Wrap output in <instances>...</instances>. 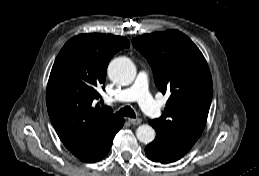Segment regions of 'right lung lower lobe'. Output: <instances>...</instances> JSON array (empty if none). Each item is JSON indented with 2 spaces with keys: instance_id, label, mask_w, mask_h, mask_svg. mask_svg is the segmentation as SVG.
I'll list each match as a JSON object with an SVG mask.
<instances>
[{
  "instance_id": "1",
  "label": "right lung lower lobe",
  "mask_w": 259,
  "mask_h": 176,
  "mask_svg": "<svg viewBox=\"0 0 259 176\" xmlns=\"http://www.w3.org/2000/svg\"><path fill=\"white\" fill-rule=\"evenodd\" d=\"M122 125H123V122L121 124V127H122ZM117 132H115L105 142H103L100 145V147L98 149H96L93 153H91L90 155H88L80 160H82L84 162H88V163H92V162L101 160L109 152L111 145L113 143L114 136L116 135Z\"/></svg>"
}]
</instances>
